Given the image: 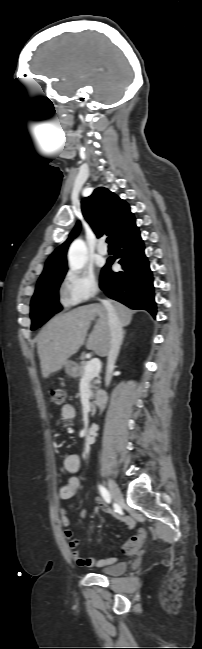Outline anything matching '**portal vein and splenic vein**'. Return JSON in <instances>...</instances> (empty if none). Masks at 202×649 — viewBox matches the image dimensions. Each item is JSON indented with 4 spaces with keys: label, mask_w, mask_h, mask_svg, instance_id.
Instances as JSON below:
<instances>
[{
    "label": "portal vein and splenic vein",
    "mask_w": 202,
    "mask_h": 649,
    "mask_svg": "<svg viewBox=\"0 0 202 649\" xmlns=\"http://www.w3.org/2000/svg\"><path fill=\"white\" fill-rule=\"evenodd\" d=\"M100 370V360L98 358L91 359L85 367L83 379H93L99 374Z\"/></svg>",
    "instance_id": "1"
}]
</instances>
